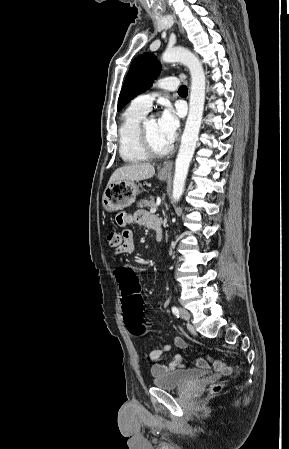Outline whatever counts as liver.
Segmentation results:
<instances>
[{"instance_id": "obj_1", "label": "liver", "mask_w": 289, "mask_h": 449, "mask_svg": "<svg viewBox=\"0 0 289 449\" xmlns=\"http://www.w3.org/2000/svg\"><path fill=\"white\" fill-rule=\"evenodd\" d=\"M155 168L149 163H137L125 165L114 171L108 185L120 180L141 181L153 177Z\"/></svg>"}]
</instances>
